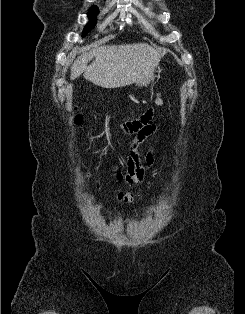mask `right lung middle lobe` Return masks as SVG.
<instances>
[{"label": "right lung middle lobe", "mask_w": 245, "mask_h": 314, "mask_svg": "<svg viewBox=\"0 0 245 314\" xmlns=\"http://www.w3.org/2000/svg\"><path fill=\"white\" fill-rule=\"evenodd\" d=\"M98 8L96 6H92L89 9L88 17L90 19V22L85 26L83 30L82 37H84L96 24L95 16L98 14Z\"/></svg>", "instance_id": "right-lung-middle-lobe-1"}]
</instances>
